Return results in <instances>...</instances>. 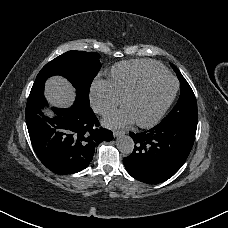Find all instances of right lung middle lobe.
Returning <instances> with one entry per match:
<instances>
[{"label": "right lung middle lobe", "mask_w": 228, "mask_h": 228, "mask_svg": "<svg viewBox=\"0 0 228 228\" xmlns=\"http://www.w3.org/2000/svg\"><path fill=\"white\" fill-rule=\"evenodd\" d=\"M96 52L68 51L47 63L39 72L29 96L43 94L48 77L61 75L76 88L75 103L89 107V90L101 68Z\"/></svg>", "instance_id": "1"}]
</instances>
